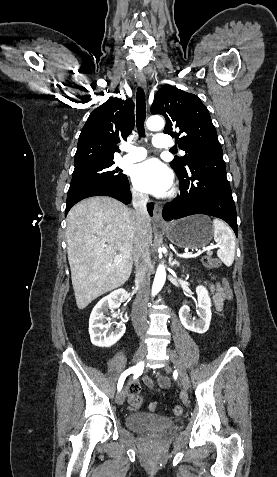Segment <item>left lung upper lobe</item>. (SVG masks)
<instances>
[{"mask_svg":"<svg viewBox=\"0 0 277 477\" xmlns=\"http://www.w3.org/2000/svg\"><path fill=\"white\" fill-rule=\"evenodd\" d=\"M151 112L165 117L164 133L175 137L179 148L186 152L170 163L174 171L185 170L193 156L222 151L210 114L196 95L164 85L155 96Z\"/></svg>","mask_w":277,"mask_h":477,"instance_id":"1","label":"left lung upper lobe"}]
</instances>
